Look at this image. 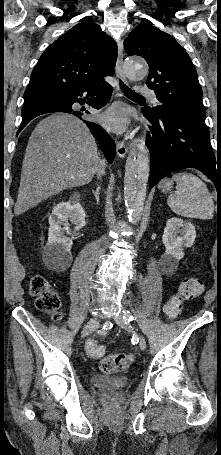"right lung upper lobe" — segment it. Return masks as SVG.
Segmentation results:
<instances>
[{"label":"right lung upper lobe","instance_id":"obj_1","mask_svg":"<svg viewBox=\"0 0 221 455\" xmlns=\"http://www.w3.org/2000/svg\"><path fill=\"white\" fill-rule=\"evenodd\" d=\"M118 48L100 26L75 25L41 55L24 93V105L56 98L68 89L114 74Z\"/></svg>","mask_w":221,"mask_h":455}]
</instances>
